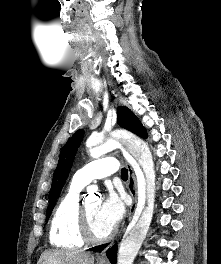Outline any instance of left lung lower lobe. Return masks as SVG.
Listing matches in <instances>:
<instances>
[{"instance_id":"1","label":"left lung lower lobe","mask_w":221,"mask_h":264,"mask_svg":"<svg viewBox=\"0 0 221 264\" xmlns=\"http://www.w3.org/2000/svg\"><path fill=\"white\" fill-rule=\"evenodd\" d=\"M108 246V244H103L94 248H91L92 251H100L103 248ZM108 259L110 260L111 264H116V255H117V246L113 245L106 253Z\"/></svg>"}]
</instances>
